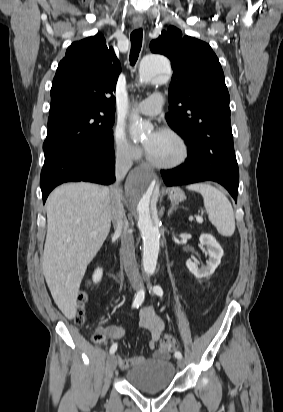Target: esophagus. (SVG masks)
<instances>
[{
    "label": "esophagus",
    "instance_id": "esophagus-1",
    "mask_svg": "<svg viewBox=\"0 0 283 412\" xmlns=\"http://www.w3.org/2000/svg\"><path fill=\"white\" fill-rule=\"evenodd\" d=\"M143 21L140 19L133 20V25L135 28H140L142 26Z\"/></svg>",
    "mask_w": 283,
    "mask_h": 412
}]
</instances>
